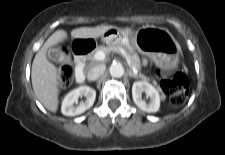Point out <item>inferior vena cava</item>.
Segmentation results:
<instances>
[{
  "label": "inferior vena cava",
  "instance_id": "602c4592",
  "mask_svg": "<svg viewBox=\"0 0 225 155\" xmlns=\"http://www.w3.org/2000/svg\"><path fill=\"white\" fill-rule=\"evenodd\" d=\"M105 69H106V67L103 64H99V65L92 67L91 69H89V71L87 73L88 80L94 81V80L98 79L101 75H103V73L105 72Z\"/></svg>",
  "mask_w": 225,
  "mask_h": 155
}]
</instances>
